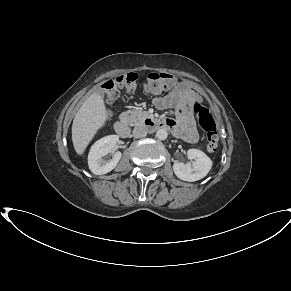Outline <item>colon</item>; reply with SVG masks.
<instances>
[{"label": "colon", "instance_id": "obj_1", "mask_svg": "<svg viewBox=\"0 0 291 291\" xmlns=\"http://www.w3.org/2000/svg\"><path fill=\"white\" fill-rule=\"evenodd\" d=\"M176 82L175 77L168 72H151L144 76L137 73H127L103 82L100 91L106 102H114L121 90L133 91L138 84L152 94H159L171 89ZM197 121L206 134L207 149L214 152L219 146V136L215 118L211 111L199 103L194 105Z\"/></svg>", "mask_w": 291, "mask_h": 291}]
</instances>
